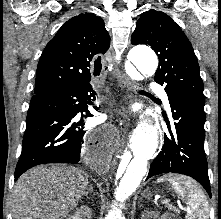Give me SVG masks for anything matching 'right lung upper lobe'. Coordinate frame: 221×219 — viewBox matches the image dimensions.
Masks as SVG:
<instances>
[{
  "mask_svg": "<svg viewBox=\"0 0 221 219\" xmlns=\"http://www.w3.org/2000/svg\"><path fill=\"white\" fill-rule=\"evenodd\" d=\"M110 36L101 17L79 14L68 20L45 47L39 60L35 95L89 84L100 73Z\"/></svg>",
  "mask_w": 221,
  "mask_h": 219,
  "instance_id": "cb5924a9",
  "label": "right lung upper lobe"
}]
</instances>
